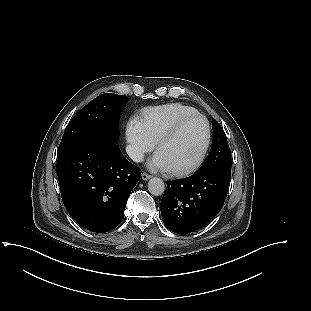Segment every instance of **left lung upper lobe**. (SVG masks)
Returning a JSON list of instances; mask_svg holds the SVG:
<instances>
[{
    "label": "left lung upper lobe",
    "mask_w": 311,
    "mask_h": 311,
    "mask_svg": "<svg viewBox=\"0 0 311 311\" xmlns=\"http://www.w3.org/2000/svg\"><path fill=\"white\" fill-rule=\"evenodd\" d=\"M213 142L208 158L199 170L220 169L231 172V151L224 130L212 119Z\"/></svg>",
    "instance_id": "obj_1"
}]
</instances>
